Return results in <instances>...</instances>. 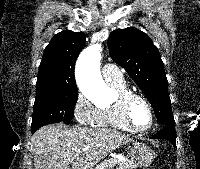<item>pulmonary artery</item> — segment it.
<instances>
[{
    "mask_svg": "<svg viewBox=\"0 0 200 169\" xmlns=\"http://www.w3.org/2000/svg\"><path fill=\"white\" fill-rule=\"evenodd\" d=\"M102 76L107 83L111 82H121L124 80V77L120 69L111 63H106L102 66Z\"/></svg>",
    "mask_w": 200,
    "mask_h": 169,
    "instance_id": "pulmonary-artery-1",
    "label": "pulmonary artery"
}]
</instances>
